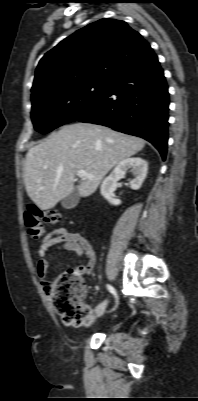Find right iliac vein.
<instances>
[{
  "label": "right iliac vein",
  "mask_w": 198,
  "mask_h": 401,
  "mask_svg": "<svg viewBox=\"0 0 198 401\" xmlns=\"http://www.w3.org/2000/svg\"><path fill=\"white\" fill-rule=\"evenodd\" d=\"M105 307H106V304L100 306V307L97 309L96 314H97L98 316H101V315L103 314V312H104Z\"/></svg>",
  "instance_id": "obj_1"
}]
</instances>
